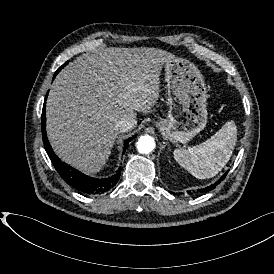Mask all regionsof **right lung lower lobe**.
<instances>
[{
    "instance_id": "98d812e1",
    "label": "right lung lower lobe",
    "mask_w": 274,
    "mask_h": 274,
    "mask_svg": "<svg viewBox=\"0 0 274 274\" xmlns=\"http://www.w3.org/2000/svg\"><path fill=\"white\" fill-rule=\"evenodd\" d=\"M59 71H56L54 74L53 79L56 77L57 73ZM48 93L46 94L45 101H44V106L42 110V117H41V125H42V137H43V143H44V148L52 161L55 169L59 173V175L62 177V179L70 186L75 188L76 190L85 193V194H103L107 191H109L112 187L116 185L120 178V173H121V168H119L116 172L115 175L105 178V179H97V178H92L89 176L84 175L80 171L72 168L71 166L65 164L62 162L53 152L49 141L47 139V134H46V116H45V107H46V98H47ZM136 137L133 136L125 141L124 148H123V154L126 150V147L128 143Z\"/></svg>"
}]
</instances>
